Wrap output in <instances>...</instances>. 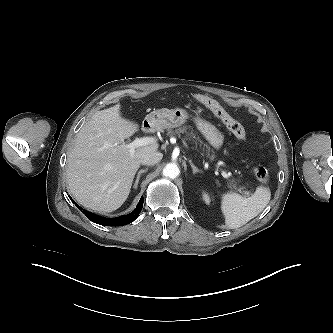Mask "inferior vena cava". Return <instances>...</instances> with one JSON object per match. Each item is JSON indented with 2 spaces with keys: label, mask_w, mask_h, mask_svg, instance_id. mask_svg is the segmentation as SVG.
I'll return each instance as SVG.
<instances>
[{
  "label": "inferior vena cava",
  "mask_w": 333,
  "mask_h": 333,
  "mask_svg": "<svg viewBox=\"0 0 333 333\" xmlns=\"http://www.w3.org/2000/svg\"><path fill=\"white\" fill-rule=\"evenodd\" d=\"M163 157V154L160 152H150L148 154H145L141 158V164L147 165V166H152L157 164Z\"/></svg>",
  "instance_id": "602c4592"
}]
</instances>
